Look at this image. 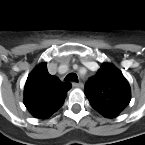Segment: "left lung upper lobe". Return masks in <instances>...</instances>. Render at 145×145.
Here are the masks:
<instances>
[{"instance_id": "obj_1", "label": "left lung upper lobe", "mask_w": 145, "mask_h": 145, "mask_svg": "<svg viewBox=\"0 0 145 145\" xmlns=\"http://www.w3.org/2000/svg\"><path fill=\"white\" fill-rule=\"evenodd\" d=\"M92 107L106 118L117 117L131 100L130 86L115 66L103 63L96 76L85 85Z\"/></svg>"}]
</instances>
